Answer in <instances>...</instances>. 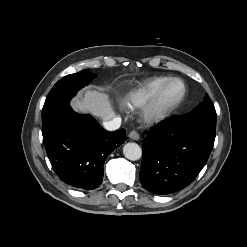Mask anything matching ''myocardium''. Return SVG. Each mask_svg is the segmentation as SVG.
I'll return each mask as SVG.
<instances>
[{"instance_id": "myocardium-1", "label": "myocardium", "mask_w": 247, "mask_h": 247, "mask_svg": "<svg viewBox=\"0 0 247 247\" xmlns=\"http://www.w3.org/2000/svg\"><path fill=\"white\" fill-rule=\"evenodd\" d=\"M172 82H179L182 91L179 97L170 104H163L162 96L166 87ZM187 88L185 82L177 77L168 78L153 94L142 110V120L145 124H158L170 117L182 104L186 97Z\"/></svg>"}]
</instances>
